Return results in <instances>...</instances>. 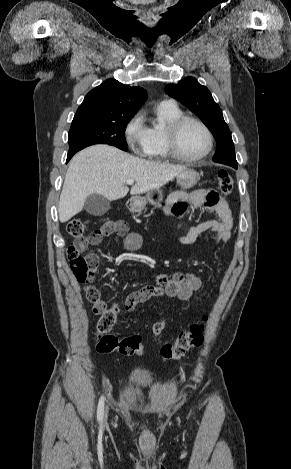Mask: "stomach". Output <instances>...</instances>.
I'll list each match as a JSON object with an SVG mask.
<instances>
[{"label": "stomach", "mask_w": 291, "mask_h": 469, "mask_svg": "<svg viewBox=\"0 0 291 469\" xmlns=\"http://www.w3.org/2000/svg\"><path fill=\"white\" fill-rule=\"evenodd\" d=\"M199 180L198 173L193 169H186L177 175V183L183 189L193 187ZM163 200V192L160 188H153L145 196H133L129 200V209L132 212H140L147 203L154 206L159 205Z\"/></svg>", "instance_id": "0dacf381"}]
</instances>
